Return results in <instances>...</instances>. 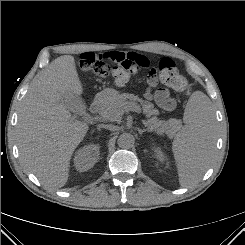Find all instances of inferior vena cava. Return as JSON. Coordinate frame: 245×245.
<instances>
[{"label": "inferior vena cava", "instance_id": "obj_1", "mask_svg": "<svg viewBox=\"0 0 245 245\" xmlns=\"http://www.w3.org/2000/svg\"><path fill=\"white\" fill-rule=\"evenodd\" d=\"M103 128L108 129L110 131L117 130V127L115 125H102Z\"/></svg>", "mask_w": 245, "mask_h": 245}]
</instances>
